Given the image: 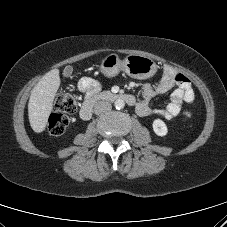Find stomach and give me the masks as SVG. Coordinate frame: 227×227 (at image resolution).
<instances>
[{"label": "stomach", "instance_id": "stomach-1", "mask_svg": "<svg viewBox=\"0 0 227 227\" xmlns=\"http://www.w3.org/2000/svg\"><path fill=\"white\" fill-rule=\"evenodd\" d=\"M100 71L107 77L116 76L120 71L136 79H147L157 71L156 63L149 57L137 54L121 60L117 54H109L100 64Z\"/></svg>", "mask_w": 227, "mask_h": 227}]
</instances>
